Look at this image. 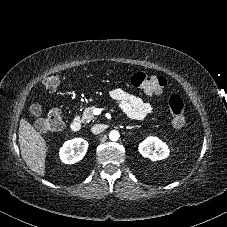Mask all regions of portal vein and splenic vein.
Returning <instances> with one entry per match:
<instances>
[{
    "label": "portal vein and splenic vein",
    "instance_id": "portal-vein-and-splenic-vein-1",
    "mask_svg": "<svg viewBox=\"0 0 227 227\" xmlns=\"http://www.w3.org/2000/svg\"><path fill=\"white\" fill-rule=\"evenodd\" d=\"M102 110H103L102 108H96V109L93 110V114L99 115L102 112Z\"/></svg>",
    "mask_w": 227,
    "mask_h": 227
}]
</instances>
